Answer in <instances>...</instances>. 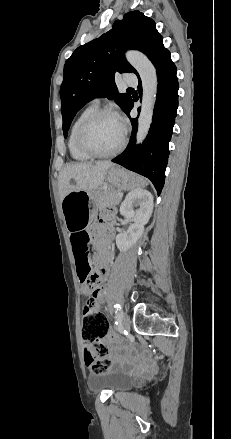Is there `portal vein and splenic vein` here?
<instances>
[{
	"instance_id": "portal-vein-and-splenic-vein-1",
	"label": "portal vein and splenic vein",
	"mask_w": 231,
	"mask_h": 439,
	"mask_svg": "<svg viewBox=\"0 0 231 439\" xmlns=\"http://www.w3.org/2000/svg\"><path fill=\"white\" fill-rule=\"evenodd\" d=\"M118 195H119L120 197H122V196H123V194H122V193H118Z\"/></svg>"
}]
</instances>
